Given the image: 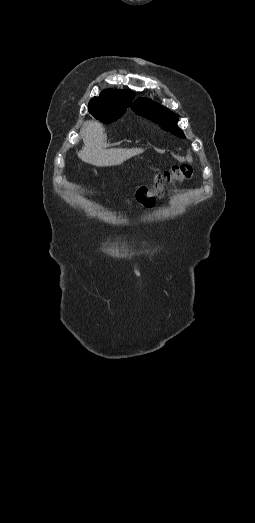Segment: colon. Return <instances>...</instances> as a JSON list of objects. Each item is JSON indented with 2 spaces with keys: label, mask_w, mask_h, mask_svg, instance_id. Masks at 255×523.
I'll return each instance as SVG.
<instances>
[{
  "label": "colon",
  "mask_w": 255,
  "mask_h": 523,
  "mask_svg": "<svg viewBox=\"0 0 255 523\" xmlns=\"http://www.w3.org/2000/svg\"><path fill=\"white\" fill-rule=\"evenodd\" d=\"M192 175L193 168L190 165L173 166L163 174L157 175L151 185H141L135 193L134 200L145 207H150L157 197L163 195L165 185L190 179Z\"/></svg>",
  "instance_id": "obj_1"
}]
</instances>
